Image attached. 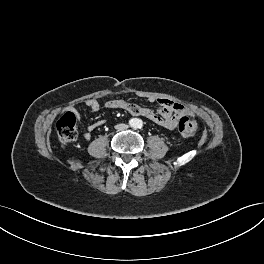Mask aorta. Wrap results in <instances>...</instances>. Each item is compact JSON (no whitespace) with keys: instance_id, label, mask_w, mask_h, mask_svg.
<instances>
[{"instance_id":"1","label":"aorta","mask_w":264,"mask_h":264,"mask_svg":"<svg viewBox=\"0 0 264 264\" xmlns=\"http://www.w3.org/2000/svg\"><path fill=\"white\" fill-rule=\"evenodd\" d=\"M130 125L133 128H141L143 126V121L139 118H133L130 120Z\"/></svg>"}]
</instances>
